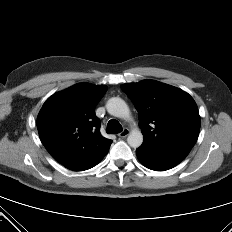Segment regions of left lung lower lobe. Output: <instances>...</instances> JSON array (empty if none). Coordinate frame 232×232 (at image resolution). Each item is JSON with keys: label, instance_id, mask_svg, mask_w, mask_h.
Listing matches in <instances>:
<instances>
[{"label": "left lung lower lobe", "instance_id": "0a47b994", "mask_svg": "<svg viewBox=\"0 0 232 232\" xmlns=\"http://www.w3.org/2000/svg\"><path fill=\"white\" fill-rule=\"evenodd\" d=\"M188 149H172L153 151L143 148L136 150L140 162L147 168L155 171H165L182 162L189 154Z\"/></svg>", "mask_w": 232, "mask_h": 232}]
</instances>
